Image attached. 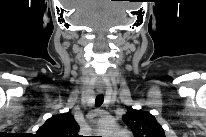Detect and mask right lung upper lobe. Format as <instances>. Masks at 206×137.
Listing matches in <instances>:
<instances>
[{
    "label": "right lung upper lobe",
    "mask_w": 206,
    "mask_h": 137,
    "mask_svg": "<svg viewBox=\"0 0 206 137\" xmlns=\"http://www.w3.org/2000/svg\"><path fill=\"white\" fill-rule=\"evenodd\" d=\"M79 125L70 112L54 115L37 130L39 137H77Z\"/></svg>",
    "instance_id": "1"
}]
</instances>
